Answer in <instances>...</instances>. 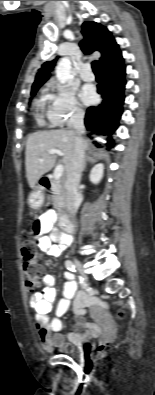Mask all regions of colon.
I'll return each instance as SVG.
<instances>
[{"instance_id":"5ec220e1","label":"colon","mask_w":155,"mask_h":395,"mask_svg":"<svg viewBox=\"0 0 155 395\" xmlns=\"http://www.w3.org/2000/svg\"><path fill=\"white\" fill-rule=\"evenodd\" d=\"M23 256V271L24 279L27 289L33 292L35 288H38L40 278L43 275V268L39 262V252L36 244V240H26L22 246ZM123 316V312L119 313ZM106 343L100 345V349H103Z\"/></svg>"}]
</instances>
